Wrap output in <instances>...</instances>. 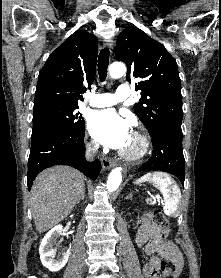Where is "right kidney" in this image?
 Wrapping results in <instances>:
<instances>
[{
    "label": "right kidney",
    "mask_w": 221,
    "mask_h": 278,
    "mask_svg": "<svg viewBox=\"0 0 221 278\" xmlns=\"http://www.w3.org/2000/svg\"><path fill=\"white\" fill-rule=\"evenodd\" d=\"M62 231V225L54 227L44 236L40 243L39 254L41 262L51 272L61 270L70 256V249L56 255L57 239L62 234Z\"/></svg>",
    "instance_id": "right-kidney-1"
}]
</instances>
